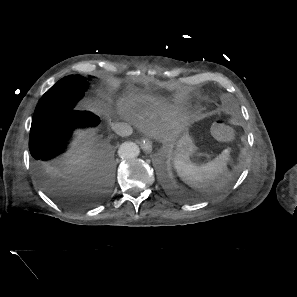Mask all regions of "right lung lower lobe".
Returning a JSON list of instances; mask_svg holds the SVG:
<instances>
[{
  "instance_id": "obj_1",
  "label": "right lung lower lobe",
  "mask_w": 297,
  "mask_h": 297,
  "mask_svg": "<svg viewBox=\"0 0 297 297\" xmlns=\"http://www.w3.org/2000/svg\"><path fill=\"white\" fill-rule=\"evenodd\" d=\"M77 99L55 108L47 117L32 121L29 149L35 172L40 176H51L65 163L72 132L76 128H94L100 118L90 111L76 108ZM99 160L109 165L107 148L99 152Z\"/></svg>"
}]
</instances>
